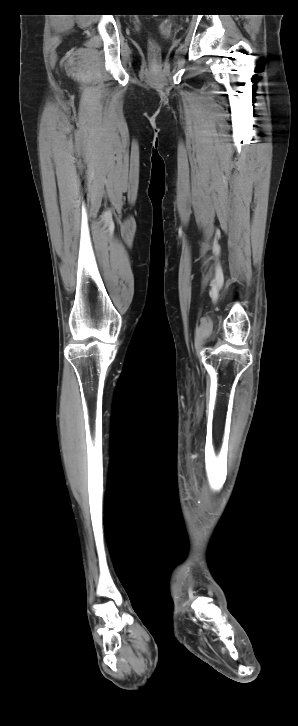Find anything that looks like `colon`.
Returning a JSON list of instances; mask_svg holds the SVG:
<instances>
[{"mask_svg": "<svg viewBox=\"0 0 298 726\" xmlns=\"http://www.w3.org/2000/svg\"><path fill=\"white\" fill-rule=\"evenodd\" d=\"M150 49L153 53L158 51V45L155 41H150Z\"/></svg>", "mask_w": 298, "mask_h": 726, "instance_id": "obj_1", "label": "colon"}]
</instances>
